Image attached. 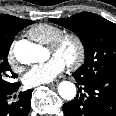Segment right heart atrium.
Segmentation results:
<instances>
[{
	"mask_svg": "<svg viewBox=\"0 0 116 116\" xmlns=\"http://www.w3.org/2000/svg\"><path fill=\"white\" fill-rule=\"evenodd\" d=\"M6 61L12 69H14L16 71L20 70V67L18 65V60H17L15 53H14V45L13 44H11L7 50Z\"/></svg>",
	"mask_w": 116,
	"mask_h": 116,
	"instance_id": "d8ad5b80",
	"label": "right heart atrium"
}]
</instances>
